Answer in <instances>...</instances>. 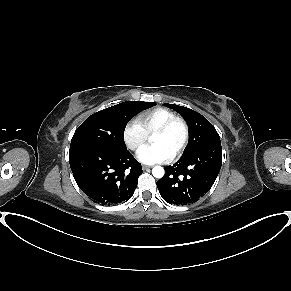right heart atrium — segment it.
<instances>
[{
    "label": "right heart atrium",
    "instance_id": "d8ad5b80",
    "mask_svg": "<svg viewBox=\"0 0 291 291\" xmlns=\"http://www.w3.org/2000/svg\"><path fill=\"white\" fill-rule=\"evenodd\" d=\"M122 138L125 145L134 151L146 142L148 133L136 120H131L124 126Z\"/></svg>",
    "mask_w": 291,
    "mask_h": 291
}]
</instances>
